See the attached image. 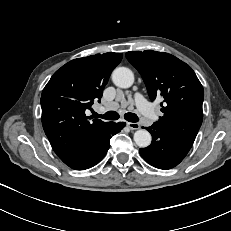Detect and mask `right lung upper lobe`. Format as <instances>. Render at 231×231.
<instances>
[{
	"instance_id": "1",
	"label": "right lung upper lobe",
	"mask_w": 231,
	"mask_h": 231,
	"mask_svg": "<svg viewBox=\"0 0 231 231\" xmlns=\"http://www.w3.org/2000/svg\"><path fill=\"white\" fill-rule=\"evenodd\" d=\"M121 53H105L74 59L57 70L41 96L42 125L57 156L68 166L85 149L107 133L113 122L85 114L94 100L100 101L103 88Z\"/></svg>"
}]
</instances>
